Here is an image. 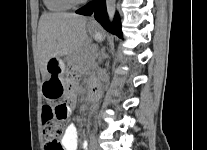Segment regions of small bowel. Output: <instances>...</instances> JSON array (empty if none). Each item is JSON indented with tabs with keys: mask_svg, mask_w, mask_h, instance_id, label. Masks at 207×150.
<instances>
[{
	"mask_svg": "<svg viewBox=\"0 0 207 150\" xmlns=\"http://www.w3.org/2000/svg\"><path fill=\"white\" fill-rule=\"evenodd\" d=\"M77 97V87L72 84L67 94V104L69 109L75 107ZM78 132L73 124H69L61 136L60 142L63 146V150H77L78 148ZM81 150H91L90 140L81 141Z\"/></svg>",
	"mask_w": 207,
	"mask_h": 150,
	"instance_id": "c3829d8e",
	"label": "small bowel"
}]
</instances>
